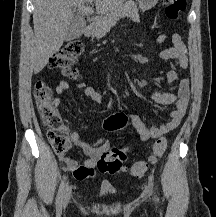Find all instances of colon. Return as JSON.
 <instances>
[{
	"label": "colon",
	"instance_id": "1",
	"mask_svg": "<svg viewBox=\"0 0 216 217\" xmlns=\"http://www.w3.org/2000/svg\"><path fill=\"white\" fill-rule=\"evenodd\" d=\"M165 5V14L171 20H176L185 10V0H161ZM83 46L80 42H70L59 50L50 61V67L69 77H76L77 71L74 64L81 55ZM34 99L38 107V113L44 126L47 127L48 140L54 152L64 157L70 149L65 127L59 112L54 107V96L51 88L43 81H38L34 85ZM128 124L125 113L118 112L110 115L104 121V128L108 131H115L124 128ZM167 148V140L159 137L152 146V153L148 161H139L124 167L126 154L119 148L110 147L106 149L97 162V168L102 173L114 174L124 170L131 176L141 177L149 169L150 165L156 164L164 155ZM69 169L79 175L80 170L74 163H69Z\"/></svg>",
	"mask_w": 216,
	"mask_h": 217
}]
</instances>
